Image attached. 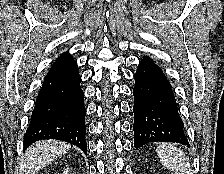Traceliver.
<instances>
[{
	"label": "liver",
	"mask_w": 224,
	"mask_h": 174,
	"mask_svg": "<svg viewBox=\"0 0 224 174\" xmlns=\"http://www.w3.org/2000/svg\"><path fill=\"white\" fill-rule=\"evenodd\" d=\"M70 148V144L53 139L33 143L21 158L19 174H36L55 158L66 154Z\"/></svg>",
	"instance_id": "6515ba94"
}]
</instances>
